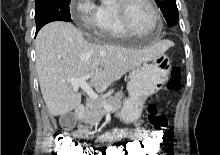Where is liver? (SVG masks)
I'll use <instances>...</instances> for the list:
<instances>
[{
    "mask_svg": "<svg viewBox=\"0 0 220 155\" xmlns=\"http://www.w3.org/2000/svg\"><path fill=\"white\" fill-rule=\"evenodd\" d=\"M171 42L136 50L97 45L85 40L73 24L51 22L38 32L36 69L44 102L51 116L64 115L81 104V94L68 79L93 73L90 83L104 92L125 73L163 54Z\"/></svg>",
    "mask_w": 220,
    "mask_h": 155,
    "instance_id": "obj_1",
    "label": "liver"
}]
</instances>
